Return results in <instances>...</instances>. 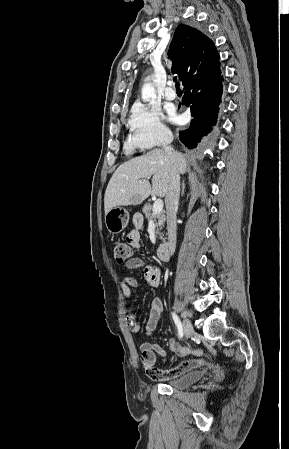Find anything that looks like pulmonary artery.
I'll use <instances>...</instances> for the list:
<instances>
[{
    "instance_id": "obj_1",
    "label": "pulmonary artery",
    "mask_w": 289,
    "mask_h": 449,
    "mask_svg": "<svg viewBox=\"0 0 289 449\" xmlns=\"http://www.w3.org/2000/svg\"><path fill=\"white\" fill-rule=\"evenodd\" d=\"M164 96L167 100H173L176 98V92L173 89L171 82H168L167 87L165 88L164 91Z\"/></svg>"
}]
</instances>
